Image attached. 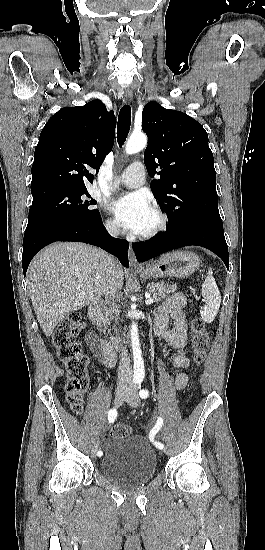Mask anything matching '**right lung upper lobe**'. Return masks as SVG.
Returning a JSON list of instances; mask_svg holds the SVG:
<instances>
[{
	"mask_svg": "<svg viewBox=\"0 0 265 550\" xmlns=\"http://www.w3.org/2000/svg\"><path fill=\"white\" fill-rule=\"evenodd\" d=\"M115 116L100 100L64 107L43 128L34 152L31 189H86L114 142Z\"/></svg>",
	"mask_w": 265,
	"mask_h": 550,
	"instance_id": "1",
	"label": "right lung upper lobe"
}]
</instances>
